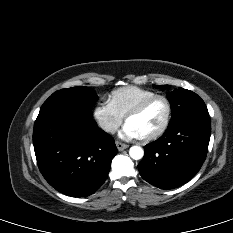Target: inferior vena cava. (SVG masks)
<instances>
[{"instance_id":"1","label":"inferior vena cava","mask_w":233,"mask_h":233,"mask_svg":"<svg viewBox=\"0 0 233 233\" xmlns=\"http://www.w3.org/2000/svg\"><path fill=\"white\" fill-rule=\"evenodd\" d=\"M105 130L108 131V132L114 133L116 131V127H114V126H107L105 128Z\"/></svg>"}]
</instances>
